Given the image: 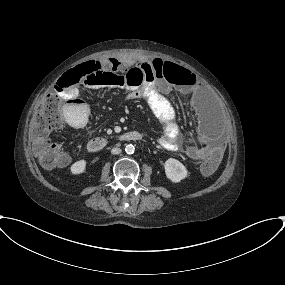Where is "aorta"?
I'll return each mask as SVG.
<instances>
[{
	"instance_id": "762f6f07",
	"label": "aorta",
	"mask_w": 285,
	"mask_h": 285,
	"mask_svg": "<svg viewBox=\"0 0 285 285\" xmlns=\"http://www.w3.org/2000/svg\"><path fill=\"white\" fill-rule=\"evenodd\" d=\"M134 151H135L134 145H132V144L126 145V147H125V152H126L127 154H133Z\"/></svg>"
}]
</instances>
